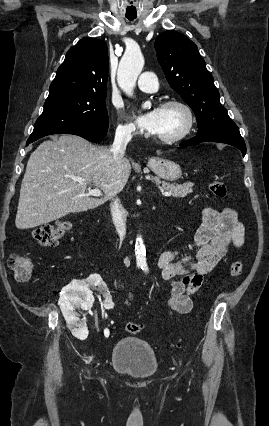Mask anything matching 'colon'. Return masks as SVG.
Here are the masks:
<instances>
[{"label":"colon","mask_w":269,"mask_h":426,"mask_svg":"<svg viewBox=\"0 0 269 426\" xmlns=\"http://www.w3.org/2000/svg\"><path fill=\"white\" fill-rule=\"evenodd\" d=\"M209 190L216 197L226 196V185L222 181L213 180L209 182ZM71 224L68 221H57L55 224L40 226L34 233L36 241L45 247L57 245L59 240L70 230ZM8 266L13 272L14 278L18 282H26L30 279L33 271L31 260L21 254H11L8 257ZM243 269L240 260L234 261L230 266V275L238 277ZM125 329L130 334H137L141 330V325L136 322H127Z\"/></svg>","instance_id":"1"}]
</instances>
